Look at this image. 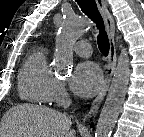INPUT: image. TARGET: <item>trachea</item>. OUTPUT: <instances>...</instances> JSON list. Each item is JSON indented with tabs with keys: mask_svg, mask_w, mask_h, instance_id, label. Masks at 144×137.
Here are the masks:
<instances>
[{
	"mask_svg": "<svg viewBox=\"0 0 144 137\" xmlns=\"http://www.w3.org/2000/svg\"><path fill=\"white\" fill-rule=\"evenodd\" d=\"M81 10L96 23L99 29L97 37L100 52L107 56L110 48L107 33L105 32L103 19L97 9L95 0H76Z\"/></svg>",
	"mask_w": 144,
	"mask_h": 137,
	"instance_id": "1",
	"label": "trachea"
}]
</instances>
